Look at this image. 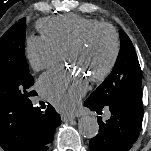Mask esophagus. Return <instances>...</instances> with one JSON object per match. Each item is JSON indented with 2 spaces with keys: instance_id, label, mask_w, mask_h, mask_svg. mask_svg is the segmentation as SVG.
<instances>
[{
  "instance_id": "34e87169",
  "label": "esophagus",
  "mask_w": 151,
  "mask_h": 151,
  "mask_svg": "<svg viewBox=\"0 0 151 151\" xmlns=\"http://www.w3.org/2000/svg\"><path fill=\"white\" fill-rule=\"evenodd\" d=\"M78 115H74V114H62L61 115V119L64 122H69L73 119H75Z\"/></svg>"
}]
</instances>
